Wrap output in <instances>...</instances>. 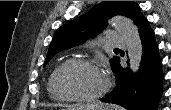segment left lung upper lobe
Here are the masks:
<instances>
[{
	"mask_svg": "<svg viewBox=\"0 0 171 110\" xmlns=\"http://www.w3.org/2000/svg\"><path fill=\"white\" fill-rule=\"evenodd\" d=\"M114 15L129 17L136 25L144 17L134 1H102L83 16L67 22L56 31L44 66L58 52L81 44L100 33L106 27L107 20ZM119 62L118 57L111 59L110 65L114 72Z\"/></svg>",
	"mask_w": 171,
	"mask_h": 110,
	"instance_id": "left-lung-upper-lobe-1",
	"label": "left lung upper lobe"
}]
</instances>
